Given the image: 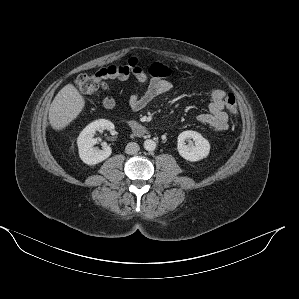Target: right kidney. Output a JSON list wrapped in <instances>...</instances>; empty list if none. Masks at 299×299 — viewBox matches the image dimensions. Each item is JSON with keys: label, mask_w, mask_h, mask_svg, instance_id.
Here are the masks:
<instances>
[{"label": "right kidney", "mask_w": 299, "mask_h": 299, "mask_svg": "<svg viewBox=\"0 0 299 299\" xmlns=\"http://www.w3.org/2000/svg\"><path fill=\"white\" fill-rule=\"evenodd\" d=\"M113 129L114 124L112 122L100 119L90 123L82 130L77 139V145L79 157L85 164L90 166L98 164L111 155L112 150L109 146H106V144L103 145L101 150L94 147L97 143V139L94 138V134L96 131H111Z\"/></svg>", "instance_id": "1"}]
</instances>
